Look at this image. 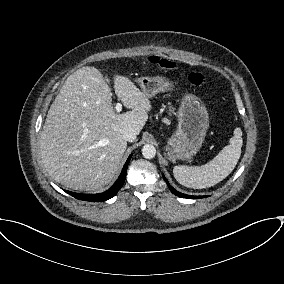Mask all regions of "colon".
<instances>
[{"label":"colon","instance_id":"5ec220e1","mask_svg":"<svg viewBox=\"0 0 284 284\" xmlns=\"http://www.w3.org/2000/svg\"><path fill=\"white\" fill-rule=\"evenodd\" d=\"M150 63L164 70H175L176 68L173 61L156 56L150 58ZM182 77L193 86L199 87L205 83V77L198 72L183 73Z\"/></svg>","mask_w":284,"mask_h":284}]
</instances>
